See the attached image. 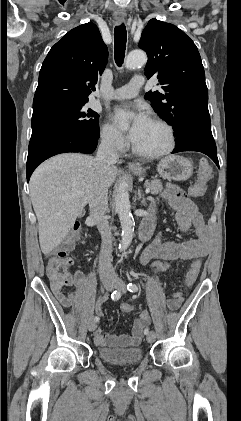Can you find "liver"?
<instances>
[{"instance_id":"liver-1","label":"liver","mask_w":241,"mask_h":421,"mask_svg":"<svg viewBox=\"0 0 241 421\" xmlns=\"http://www.w3.org/2000/svg\"><path fill=\"white\" fill-rule=\"evenodd\" d=\"M118 174L115 166L100 174L95 158L79 153L59 154L32 174L29 188L38 220L39 242L50 253L67 236L101 180L110 187ZM80 191L81 197L65 198Z\"/></svg>"}]
</instances>
